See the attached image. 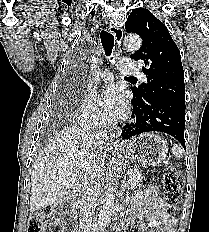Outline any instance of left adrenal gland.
<instances>
[{"mask_svg": "<svg viewBox=\"0 0 209 232\" xmlns=\"http://www.w3.org/2000/svg\"><path fill=\"white\" fill-rule=\"evenodd\" d=\"M127 183H126V177H124V180L122 181V184H121V193H125L126 192V199H128V194H129V191H126L127 189Z\"/></svg>", "mask_w": 209, "mask_h": 232, "instance_id": "a2214340", "label": "left adrenal gland"}]
</instances>
